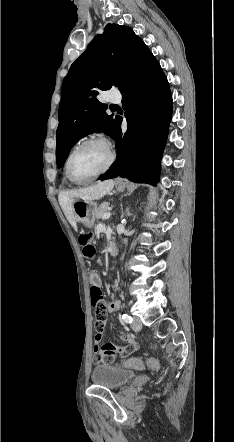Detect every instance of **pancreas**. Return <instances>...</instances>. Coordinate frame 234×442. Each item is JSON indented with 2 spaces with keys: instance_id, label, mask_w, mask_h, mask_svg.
Wrapping results in <instances>:
<instances>
[{
  "instance_id": "pancreas-1",
  "label": "pancreas",
  "mask_w": 234,
  "mask_h": 442,
  "mask_svg": "<svg viewBox=\"0 0 234 442\" xmlns=\"http://www.w3.org/2000/svg\"><path fill=\"white\" fill-rule=\"evenodd\" d=\"M109 208L110 207L108 202H103L102 204H100V206L96 210L95 214L96 219L98 220L102 218L103 214L106 213Z\"/></svg>"
}]
</instances>
